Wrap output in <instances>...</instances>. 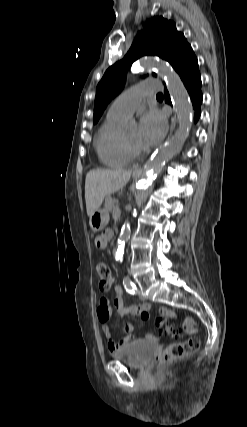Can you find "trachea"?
Returning <instances> with one entry per match:
<instances>
[{"mask_svg": "<svg viewBox=\"0 0 247 427\" xmlns=\"http://www.w3.org/2000/svg\"><path fill=\"white\" fill-rule=\"evenodd\" d=\"M157 96H158V97H161V96H163V94H162V93H158V94H157Z\"/></svg>", "mask_w": 247, "mask_h": 427, "instance_id": "3493384b", "label": "trachea"}]
</instances>
